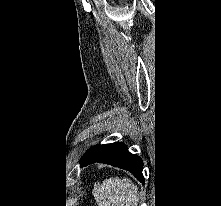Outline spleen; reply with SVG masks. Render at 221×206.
I'll return each instance as SVG.
<instances>
[{
  "label": "spleen",
  "instance_id": "1",
  "mask_svg": "<svg viewBox=\"0 0 221 206\" xmlns=\"http://www.w3.org/2000/svg\"><path fill=\"white\" fill-rule=\"evenodd\" d=\"M94 197L99 206H137L139 201L132 181L118 177L104 180L101 187L94 190Z\"/></svg>",
  "mask_w": 221,
  "mask_h": 206
}]
</instances>
